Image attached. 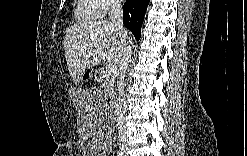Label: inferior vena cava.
Here are the masks:
<instances>
[{
  "instance_id": "602c4592",
  "label": "inferior vena cava",
  "mask_w": 247,
  "mask_h": 156,
  "mask_svg": "<svg viewBox=\"0 0 247 156\" xmlns=\"http://www.w3.org/2000/svg\"><path fill=\"white\" fill-rule=\"evenodd\" d=\"M109 18L112 24L122 30L124 33H127L126 29L123 26L122 20V5L119 0H112L110 2V13ZM131 45H126L123 57L120 62V72L118 75L117 81V98H116V117H117V125H118V134L120 138H125L127 135L125 121H126V100H125V91H124V79L125 73L128 68L129 60L131 58Z\"/></svg>"
}]
</instances>
